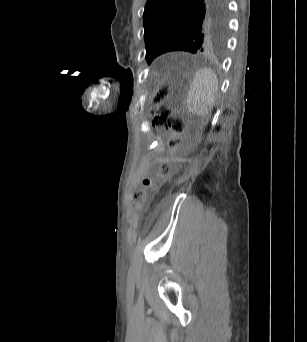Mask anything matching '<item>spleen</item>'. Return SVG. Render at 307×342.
Returning a JSON list of instances; mask_svg holds the SVG:
<instances>
[{"label":"spleen","mask_w":307,"mask_h":342,"mask_svg":"<svg viewBox=\"0 0 307 342\" xmlns=\"http://www.w3.org/2000/svg\"><path fill=\"white\" fill-rule=\"evenodd\" d=\"M218 92V78L211 68L195 72L189 86L185 110L190 114H210Z\"/></svg>","instance_id":"obj_1"}]
</instances>
